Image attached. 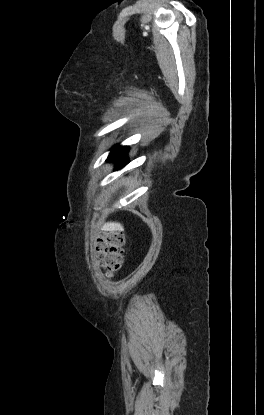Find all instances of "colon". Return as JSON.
Wrapping results in <instances>:
<instances>
[{"instance_id": "colon-1", "label": "colon", "mask_w": 264, "mask_h": 415, "mask_svg": "<svg viewBox=\"0 0 264 415\" xmlns=\"http://www.w3.org/2000/svg\"><path fill=\"white\" fill-rule=\"evenodd\" d=\"M124 235L118 231L102 232L96 240L97 259L107 274L117 271L123 263Z\"/></svg>"}]
</instances>
